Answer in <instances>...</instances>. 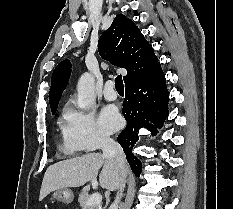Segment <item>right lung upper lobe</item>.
<instances>
[{
  "mask_svg": "<svg viewBox=\"0 0 233 209\" xmlns=\"http://www.w3.org/2000/svg\"><path fill=\"white\" fill-rule=\"evenodd\" d=\"M98 51L103 59L127 70L123 77L125 86L144 78L160 64L138 27L123 14L116 15L109 29L100 36ZM70 74L69 60H63L54 69L49 92L51 111L57 110Z\"/></svg>",
  "mask_w": 233,
  "mask_h": 209,
  "instance_id": "1",
  "label": "right lung upper lobe"
}]
</instances>
